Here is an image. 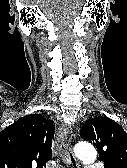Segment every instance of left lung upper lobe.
Listing matches in <instances>:
<instances>
[{
    "mask_svg": "<svg viewBox=\"0 0 127 168\" xmlns=\"http://www.w3.org/2000/svg\"><path fill=\"white\" fill-rule=\"evenodd\" d=\"M80 135L96 146L104 168H127V133L114 120L105 116L90 118Z\"/></svg>",
    "mask_w": 127,
    "mask_h": 168,
    "instance_id": "5c2ea615",
    "label": "left lung upper lobe"
}]
</instances>
